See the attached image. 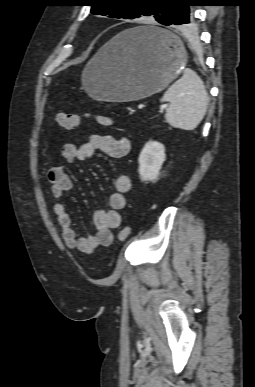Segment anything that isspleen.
<instances>
[{
  "label": "spleen",
  "mask_w": 255,
  "mask_h": 387,
  "mask_svg": "<svg viewBox=\"0 0 255 387\" xmlns=\"http://www.w3.org/2000/svg\"><path fill=\"white\" fill-rule=\"evenodd\" d=\"M208 94L201 78L191 69L164 93L161 102H169L165 119L172 127L194 130L204 118Z\"/></svg>",
  "instance_id": "1"
}]
</instances>
